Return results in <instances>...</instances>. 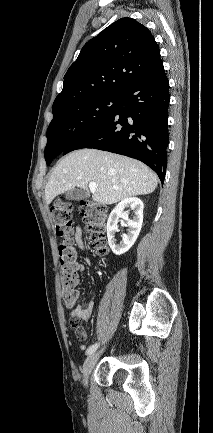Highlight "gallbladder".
I'll use <instances>...</instances> for the list:
<instances>
[{"mask_svg": "<svg viewBox=\"0 0 213 433\" xmlns=\"http://www.w3.org/2000/svg\"><path fill=\"white\" fill-rule=\"evenodd\" d=\"M64 196L68 200H81L86 197L85 192L78 189L68 190L64 193Z\"/></svg>", "mask_w": 213, "mask_h": 433, "instance_id": "obj_1", "label": "gallbladder"}]
</instances>
